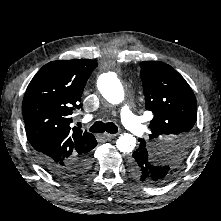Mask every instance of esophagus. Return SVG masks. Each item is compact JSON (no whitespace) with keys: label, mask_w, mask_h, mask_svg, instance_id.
<instances>
[{"label":"esophagus","mask_w":221,"mask_h":221,"mask_svg":"<svg viewBox=\"0 0 221 221\" xmlns=\"http://www.w3.org/2000/svg\"><path fill=\"white\" fill-rule=\"evenodd\" d=\"M104 135H105V137H106L107 139H112V138L117 137V134L105 133Z\"/></svg>","instance_id":"esophagus-1"}]
</instances>
